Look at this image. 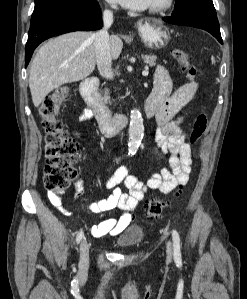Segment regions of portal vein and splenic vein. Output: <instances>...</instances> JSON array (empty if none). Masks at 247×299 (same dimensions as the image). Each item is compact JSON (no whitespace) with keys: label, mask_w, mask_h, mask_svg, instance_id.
<instances>
[{"label":"portal vein and splenic vein","mask_w":247,"mask_h":299,"mask_svg":"<svg viewBox=\"0 0 247 299\" xmlns=\"http://www.w3.org/2000/svg\"><path fill=\"white\" fill-rule=\"evenodd\" d=\"M148 67H145V70L142 72L143 76H147L148 75Z\"/></svg>","instance_id":"18ae733b"}]
</instances>
